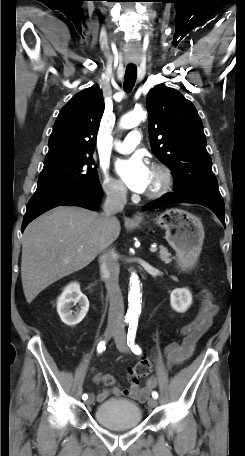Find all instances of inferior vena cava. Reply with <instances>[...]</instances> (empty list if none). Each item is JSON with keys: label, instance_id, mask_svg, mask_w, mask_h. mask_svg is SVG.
Here are the masks:
<instances>
[{"label": "inferior vena cava", "instance_id": "inferior-vena-cava-1", "mask_svg": "<svg viewBox=\"0 0 245 456\" xmlns=\"http://www.w3.org/2000/svg\"><path fill=\"white\" fill-rule=\"evenodd\" d=\"M106 200L101 214L102 225L109 229L116 221L115 214L121 212L127 203V189L123 185L111 186L106 190ZM109 243L101 246L99 257L102 277L109 296L108 325L121 329L124 316V301L119 287V264L115 253L109 249Z\"/></svg>", "mask_w": 245, "mask_h": 456}]
</instances>
